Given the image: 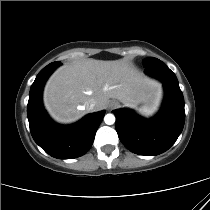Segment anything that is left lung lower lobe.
<instances>
[{
	"mask_svg": "<svg viewBox=\"0 0 210 210\" xmlns=\"http://www.w3.org/2000/svg\"><path fill=\"white\" fill-rule=\"evenodd\" d=\"M145 73L163 82L165 99L159 113L146 120L136 113L114 110L120 141L139 155H158L167 151L182 132L185 122L184 98L175 74L158 61L145 67Z\"/></svg>",
	"mask_w": 210,
	"mask_h": 210,
	"instance_id": "obj_1",
	"label": "left lung lower lobe"
}]
</instances>
